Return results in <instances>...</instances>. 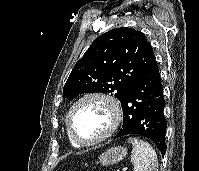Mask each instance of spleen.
Instances as JSON below:
<instances>
[{
    "mask_svg": "<svg viewBox=\"0 0 199 171\" xmlns=\"http://www.w3.org/2000/svg\"><path fill=\"white\" fill-rule=\"evenodd\" d=\"M128 142L133 145L131 162L134 171H158V158L153 147L138 138H129Z\"/></svg>",
    "mask_w": 199,
    "mask_h": 171,
    "instance_id": "spleen-1",
    "label": "spleen"
}]
</instances>
